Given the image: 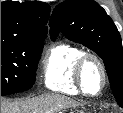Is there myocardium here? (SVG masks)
Instances as JSON below:
<instances>
[{
	"instance_id": "1",
	"label": "myocardium",
	"mask_w": 123,
	"mask_h": 113,
	"mask_svg": "<svg viewBox=\"0 0 123 113\" xmlns=\"http://www.w3.org/2000/svg\"><path fill=\"white\" fill-rule=\"evenodd\" d=\"M89 62H95L101 72L102 82H101L99 89L94 93L89 92L87 90V85H86V81H85V68ZM74 77H75V82H76L77 86L81 89V91L87 95H90V96L101 95L103 93L104 89L106 88L107 82H108L107 71H106V68H105V65H104L102 59L98 55H96L92 52H84L78 58V60L75 64V68H74Z\"/></svg>"
}]
</instances>
